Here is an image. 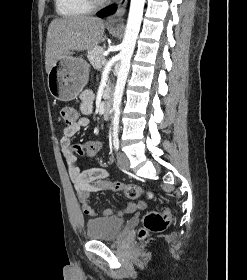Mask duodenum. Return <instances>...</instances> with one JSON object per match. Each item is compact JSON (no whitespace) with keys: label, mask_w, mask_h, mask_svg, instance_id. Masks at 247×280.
Listing matches in <instances>:
<instances>
[{"label":"duodenum","mask_w":247,"mask_h":280,"mask_svg":"<svg viewBox=\"0 0 247 280\" xmlns=\"http://www.w3.org/2000/svg\"><path fill=\"white\" fill-rule=\"evenodd\" d=\"M112 100L109 94L105 95V100L102 107L103 117L104 119H109L111 112Z\"/></svg>","instance_id":"duodenum-1"}]
</instances>
